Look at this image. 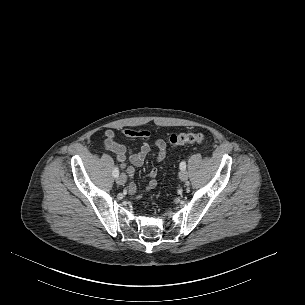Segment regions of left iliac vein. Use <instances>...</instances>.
<instances>
[{
  "instance_id": "left-iliac-vein-1",
  "label": "left iliac vein",
  "mask_w": 305,
  "mask_h": 305,
  "mask_svg": "<svg viewBox=\"0 0 305 305\" xmlns=\"http://www.w3.org/2000/svg\"><path fill=\"white\" fill-rule=\"evenodd\" d=\"M179 178L182 181H186L188 179V172L185 169L181 170L179 172Z\"/></svg>"
}]
</instances>
